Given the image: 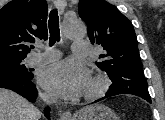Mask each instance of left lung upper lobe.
<instances>
[{"label": "left lung upper lobe", "mask_w": 165, "mask_h": 120, "mask_svg": "<svg viewBox=\"0 0 165 120\" xmlns=\"http://www.w3.org/2000/svg\"><path fill=\"white\" fill-rule=\"evenodd\" d=\"M78 11L91 43L103 47L102 60L96 65L113 82L107 95L127 93L151 101L130 20L105 0H80Z\"/></svg>", "instance_id": "5c2ea615"}]
</instances>
